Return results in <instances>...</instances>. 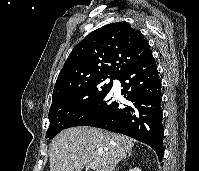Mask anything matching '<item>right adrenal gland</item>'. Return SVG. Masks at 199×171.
<instances>
[{
    "mask_svg": "<svg viewBox=\"0 0 199 171\" xmlns=\"http://www.w3.org/2000/svg\"><path fill=\"white\" fill-rule=\"evenodd\" d=\"M131 154H132V151H130V152L128 153V156H127V157H130ZM127 157L125 156L124 159H126Z\"/></svg>",
    "mask_w": 199,
    "mask_h": 171,
    "instance_id": "1",
    "label": "right adrenal gland"
}]
</instances>
